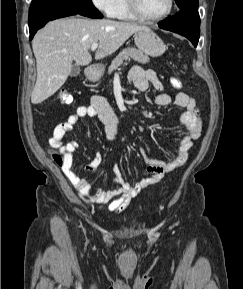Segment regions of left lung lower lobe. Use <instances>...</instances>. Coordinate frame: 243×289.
<instances>
[{"instance_id":"1","label":"left lung lower lobe","mask_w":243,"mask_h":289,"mask_svg":"<svg viewBox=\"0 0 243 289\" xmlns=\"http://www.w3.org/2000/svg\"><path fill=\"white\" fill-rule=\"evenodd\" d=\"M158 26L188 38L196 47L199 41L200 18L198 7L181 9L172 18L158 22Z\"/></svg>"}]
</instances>
